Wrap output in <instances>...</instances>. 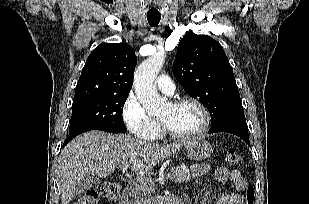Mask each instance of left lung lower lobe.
I'll return each mask as SVG.
<instances>
[{
	"mask_svg": "<svg viewBox=\"0 0 309 204\" xmlns=\"http://www.w3.org/2000/svg\"><path fill=\"white\" fill-rule=\"evenodd\" d=\"M217 132H228L237 135L250 146L244 113L227 116L211 126L209 133Z\"/></svg>",
	"mask_w": 309,
	"mask_h": 204,
	"instance_id": "1",
	"label": "left lung lower lobe"
}]
</instances>
